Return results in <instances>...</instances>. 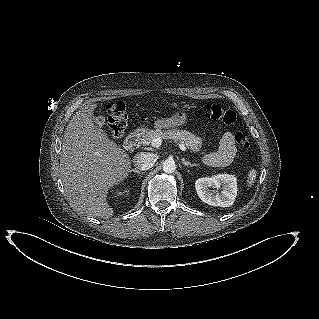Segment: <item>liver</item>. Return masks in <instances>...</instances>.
Wrapping results in <instances>:
<instances>
[{
    "instance_id": "6515ba94",
    "label": "liver",
    "mask_w": 319,
    "mask_h": 319,
    "mask_svg": "<svg viewBox=\"0 0 319 319\" xmlns=\"http://www.w3.org/2000/svg\"><path fill=\"white\" fill-rule=\"evenodd\" d=\"M96 107L86 105L67 125L60 154L61 179L77 212L110 218L114 212L107 202L108 191L128 176L131 160L103 129L94 125Z\"/></svg>"
}]
</instances>
